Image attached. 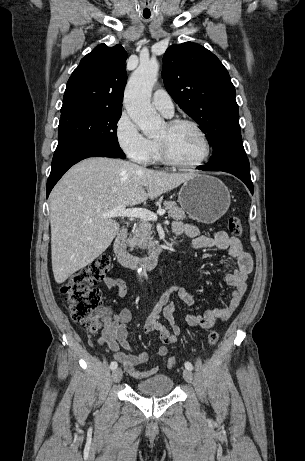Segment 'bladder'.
Here are the masks:
<instances>
[{
    "label": "bladder",
    "mask_w": 305,
    "mask_h": 461,
    "mask_svg": "<svg viewBox=\"0 0 305 461\" xmlns=\"http://www.w3.org/2000/svg\"><path fill=\"white\" fill-rule=\"evenodd\" d=\"M139 394L157 396L169 394L173 389V380L169 375L156 374L147 379L140 380L135 385Z\"/></svg>",
    "instance_id": "1"
}]
</instances>
